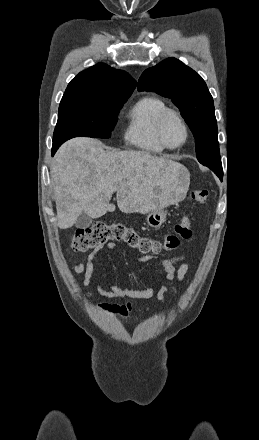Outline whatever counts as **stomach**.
Instances as JSON below:
<instances>
[{"mask_svg":"<svg viewBox=\"0 0 259 440\" xmlns=\"http://www.w3.org/2000/svg\"><path fill=\"white\" fill-rule=\"evenodd\" d=\"M183 179L182 186L183 188H187L189 184V178L186 172L182 171ZM167 211L162 209H157L150 211L146 216L147 224L152 228H160L166 221Z\"/></svg>","mask_w":259,"mask_h":440,"instance_id":"1","label":"stomach"}]
</instances>
